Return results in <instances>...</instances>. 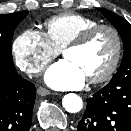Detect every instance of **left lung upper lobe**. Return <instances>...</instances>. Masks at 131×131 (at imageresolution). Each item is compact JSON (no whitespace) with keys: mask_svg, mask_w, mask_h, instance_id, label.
<instances>
[{"mask_svg":"<svg viewBox=\"0 0 131 131\" xmlns=\"http://www.w3.org/2000/svg\"><path fill=\"white\" fill-rule=\"evenodd\" d=\"M100 12L113 24L121 35L124 45V55L122 63L113 76L110 83H116L123 80H131V25L119 17L118 15L106 10L105 8H98Z\"/></svg>","mask_w":131,"mask_h":131,"instance_id":"1","label":"left lung upper lobe"}]
</instances>
